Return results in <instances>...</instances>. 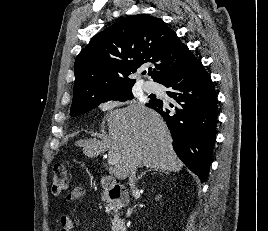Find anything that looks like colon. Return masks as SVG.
<instances>
[{
    "label": "colon",
    "mask_w": 268,
    "mask_h": 231,
    "mask_svg": "<svg viewBox=\"0 0 268 231\" xmlns=\"http://www.w3.org/2000/svg\"><path fill=\"white\" fill-rule=\"evenodd\" d=\"M69 180L64 164H56L52 174V192L54 194L65 193L68 190Z\"/></svg>",
    "instance_id": "obj_1"
}]
</instances>
